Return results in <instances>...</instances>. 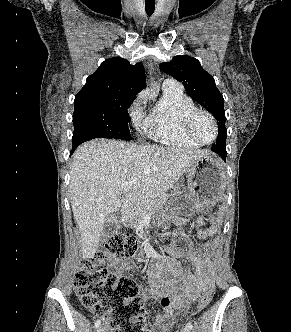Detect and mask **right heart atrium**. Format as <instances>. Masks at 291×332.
Here are the masks:
<instances>
[{"label": "right heart atrium", "instance_id": "d8ad5b80", "mask_svg": "<svg viewBox=\"0 0 291 332\" xmlns=\"http://www.w3.org/2000/svg\"><path fill=\"white\" fill-rule=\"evenodd\" d=\"M145 95L141 94L136 102L134 103L133 110H132V117L135 122L140 123L142 119V111H141V106L144 102Z\"/></svg>", "mask_w": 291, "mask_h": 332}]
</instances>
